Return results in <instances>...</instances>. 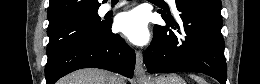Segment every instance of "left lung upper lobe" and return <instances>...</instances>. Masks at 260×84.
I'll return each instance as SVG.
<instances>
[{
    "instance_id": "obj_1",
    "label": "left lung upper lobe",
    "mask_w": 260,
    "mask_h": 84,
    "mask_svg": "<svg viewBox=\"0 0 260 84\" xmlns=\"http://www.w3.org/2000/svg\"><path fill=\"white\" fill-rule=\"evenodd\" d=\"M194 1L204 2V3H208V4H211V5L221 7V1L220 0H194Z\"/></svg>"
}]
</instances>
